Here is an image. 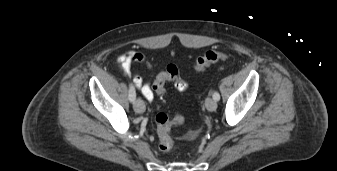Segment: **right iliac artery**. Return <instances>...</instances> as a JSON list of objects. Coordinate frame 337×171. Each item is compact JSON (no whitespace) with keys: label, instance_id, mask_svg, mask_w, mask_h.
<instances>
[{"label":"right iliac artery","instance_id":"82829eb1","mask_svg":"<svg viewBox=\"0 0 337 171\" xmlns=\"http://www.w3.org/2000/svg\"><path fill=\"white\" fill-rule=\"evenodd\" d=\"M135 98H136L135 88H134V85L131 83V84H129V100H130V102H134Z\"/></svg>","mask_w":337,"mask_h":171}]
</instances>
